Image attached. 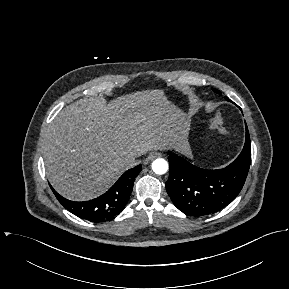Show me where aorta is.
<instances>
[{
  "mask_svg": "<svg viewBox=\"0 0 289 289\" xmlns=\"http://www.w3.org/2000/svg\"><path fill=\"white\" fill-rule=\"evenodd\" d=\"M152 170L156 174H159V175L164 174L168 170V162L163 158L155 159L152 162Z\"/></svg>",
  "mask_w": 289,
  "mask_h": 289,
  "instance_id": "aorta-1",
  "label": "aorta"
}]
</instances>
